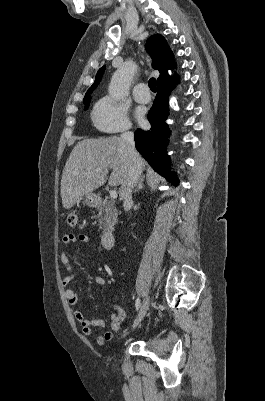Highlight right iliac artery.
<instances>
[{"mask_svg": "<svg viewBox=\"0 0 265 401\" xmlns=\"http://www.w3.org/2000/svg\"><path fill=\"white\" fill-rule=\"evenodd\" d=\"M135 306H136V310L138 311L139 308H140V306H141V302H140V299H139V298L136 299Z\"/></svg>", "mask_w": 265, "mask_h": 401, "instance_id": "right-iliac-artery-1", "label": "right iliac artery"}]
</instances>
